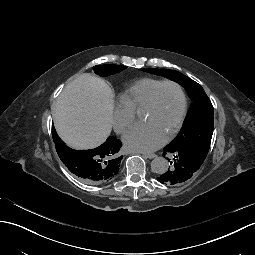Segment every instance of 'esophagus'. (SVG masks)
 Returning <instances> with one entry per match:
<instances>
[{
    "label": "esophagus",
    "mask_w": 255,
    "mask_h": 255,
    "mask_svg": "<svg viewBox=\"0 0 255 255\" xmlns=\"http://www.w3.org/2000/svg\"><path fill=\"white\" fill-rule=\"evenodd\" d=\"M135 154H141L142 152L139 151H134ZM146 158L148 159H153L154 157H156V154L154 153H142Z\"/></svg>",
    "instance_id": "1"
}]
</instances>
